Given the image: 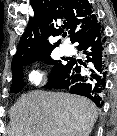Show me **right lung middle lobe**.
<instances>
[{
  "label": "right lung middle lobe",
  "mask_w": 117,
  "mask_h": 136,
  "mask_svg": "<svg viewBox=\"0 0 117 136\" xmlns=\"http://www.w3.org/2000/svg\"><path fill=\"white\" fill-rule=\"evenodd\" d=\"M37 60H41L44 61L46 64H50V65H54L49 78L53 77L54 75H56L58 73V71L64 66V64L61 61H55L53 60L50 56H46ZM35 60L30 61L28 63L22 64L20 66H18L17 68L12 70V74H13V80H12V85L10 88V92L13 93H18L22 90L23 86L25 85L22 82V78H23V66L24 65H29L31 63H33Z\"/></svg>",
  "instance_id": "obj_1"
}]
</instances>
